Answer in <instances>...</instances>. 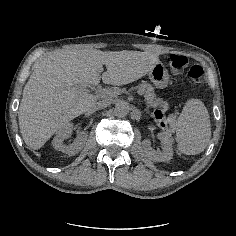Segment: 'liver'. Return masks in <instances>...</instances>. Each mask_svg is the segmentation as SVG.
I'll use <instances>...</instances> for the list:
<instances>
[{"mask_svg":"<svg viewBox=\"0 0 236 236\" xmlns=\"http://www.w3.org/2000/svg\"><path fill=\"white\" fill-rule=\"evenodd\" d=\"M144 57L146 52L88 48L40 57L24 86L18 112L26 145L40 149L55 132L92 109L97 97L81 90L79 84L98 85L101 79L114 86L132 83L148 72L143 67Z\"/></svg>","mask_w":236,"mask_h":236,"instance_id":"liver-1","label":"liver"}]
</instances>
